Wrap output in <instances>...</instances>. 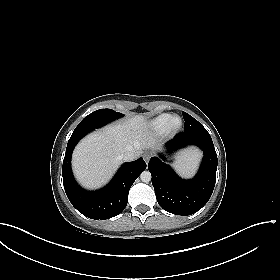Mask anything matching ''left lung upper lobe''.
Wrapping results in <instances>:
<instances>
[{"mask_svg": "<svg viewBox=\"0 0 280 280\" xmlns=\"http://www.w3.org/2000/svg\"><path fill=\"white\" fill-rule=\"evenodd\" d=\"M182 114H183V118H184V121H185L184 132L205 131L206 130L204 128V126L202 124H200L192 116H190L186 112H183Z\"/></svg>", "mask_w": 280, "mask_h": 280, "instance_id": "obj_1", "label": "left lung upper lobe"}]
</instances>
